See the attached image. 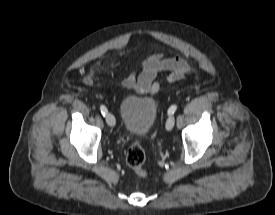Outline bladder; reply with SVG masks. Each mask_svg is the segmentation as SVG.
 I'll return each mask as SVG.
<instances>
[{
    "label": "bladder",
    "mask_w": 275,
    "mask_h": 215,
    "mask_svg": "<svg viewBox=\"0 0 275 215\" xmlns=\"http://www.w3.org/2000/svg\"><path fill=\"white\" fill-rule=\"evenodd\" d=\"M120 115L124 129L132 136H147L155 123L157 103L151 97L126 96L120 104Z\"/></svg>",
    "instance_id": "1"
}]
</instances>
